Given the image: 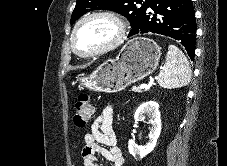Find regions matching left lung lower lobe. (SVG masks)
Listing matches in <instances>:
<instances>
[{
  "label": "left lung lower lobe",
  "mask_w": 227,
  "mask_h": 166,
  "mask_svg": "<svg viewBox=\"0 0 227 166\" xmlns=\"http://www.w3.org/2000/svg\"><path fill=\"white\" fill-rule=\"evenodd\" d=\"M148 8L156 13L152 18ZM148 32L179 40L194 60L196 23L191 0H146L145 14L135 34Z\"/></svg>",
  "instance_id": "obj_1"
}]
</instances>
